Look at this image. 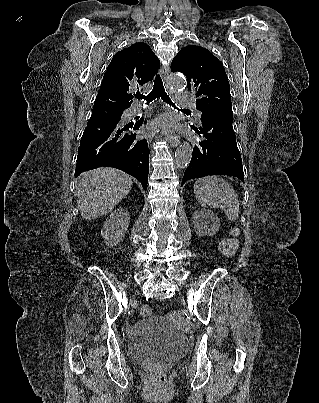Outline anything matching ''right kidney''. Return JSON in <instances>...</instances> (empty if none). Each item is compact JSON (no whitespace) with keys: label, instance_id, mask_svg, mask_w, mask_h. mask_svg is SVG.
I'll return each instance as SVG.
<instances>
[{"label":"right kidney","instance_id":"right-kidney-1","mask_svg":"<svg viewBox=\"0 0 319 403\" xmlns=\"http://www.w3.org/2000/svg\"><path fill=\"white\" fill-rule=\"evenodd\" d=\"M130 223V215L127 209H116L106 219L101 230L104 243L108 246H116L122 241Z\"/></svg>","mask_w":319,"mask_h":403}]
</instances>
